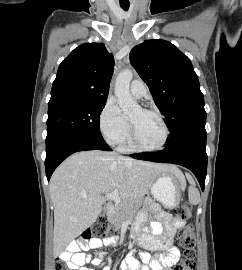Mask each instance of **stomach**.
I'll list each match as a JSON object with an SVG mask.
<instances>
[{
    "label": "stomach",
    "instance_id": "obj_1",
    "mask_svg": "<svg viewBox=\"0 0 242 270\" xmlns=\"http://www.w3.org/2000/svg\"><path fill=\"white\" fill-rule=\"evenodd\" d=\"M185 180L172 173H162L151 186L152 196L165 207H175L180 200L181 192L185 188Z\"/></svg>",
    "mask_w": 242,
    "mask_h": 270
}]
</instances>
